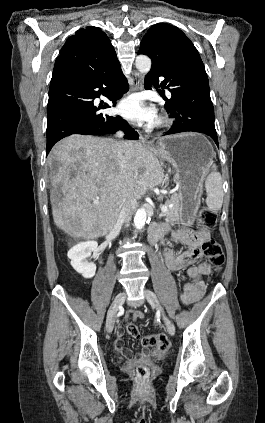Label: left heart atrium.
<instances>
[{"instance_id":"left-heart-atrium-1","label":"left heart atrium","mask_w":265,"mask_h":423,"mask_svg":"<svg viewBox=\"0 0 265 423\" xmlns=\"http://www.w3.org/2000/svg\"><path fill=\"white\" fill-rule=\"evenodd\" d=\"M117 111L120 115L137 123L152 124L156 119V112L152 107L145 106L138 96H130L122 100Z\"/></svg>"}]
</instances>
